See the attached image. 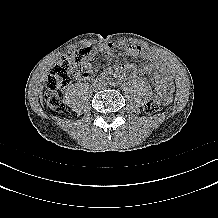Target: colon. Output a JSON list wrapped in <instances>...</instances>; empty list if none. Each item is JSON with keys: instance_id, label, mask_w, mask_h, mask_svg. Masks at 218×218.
I'll list each match as a JSON object with an SVG mask.
<instances>
[{"instance_id": "colon-1", "label": "colon", "mask_w": 218, "mask_h": 218, "mask_svg": "<svg viewBox=\"0 0 218 218\" xmlns=\"http://www.w3.org/2000/svg\"><path fill=\"white\" fill-rule=\"evenodd\" d=\"M86 55L85 49L72 52L60 59L53 67L46 82L45 101L51 108L63 111L65 105L62 101L61 89L66 87L72 76V68ZM162 93L155 94L145 105L144 110L153 114L164 105Z\"/></svg>"}]
</instances>
